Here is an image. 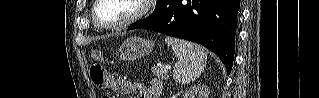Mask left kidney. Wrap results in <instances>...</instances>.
I'll list each match as a JSON object with an SVG mask.
<instances>
[{
  "instance_id": "left-kidney-1",
  "label": "left kidney",
  "mask_w": 319,
  "mask_h": 98,
  "mask_svg": "<svg viewBox=\"0 0 319 98\" xmlns=\"http://www.w3.org/2000/svg\"><path fill=\"white\" fill-rule=\"evenodd\" d=\"M209 93L208 86L199 84L186 90L183 98H209Z\"/></svg>"
}]
</instances>
